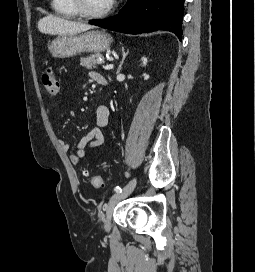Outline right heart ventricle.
I'll return each mask as SVG.
<instances>
[{
    "label": "right heart ventricle",
    "mask_w": 255,
    "mask_h": 272,
    "mask_svg": "<svg viewBox=\"0 0 255 272\" xmlns=\"http://www.w3.org/2000/svg\"><path fill=\"white\" fill-rule=\"evenodd\" d=\"M51 8L56 14L67 18H76L79 16L71 0H51Z\"/></svg>",
    "instance_id": "1"
}]
</instances>
